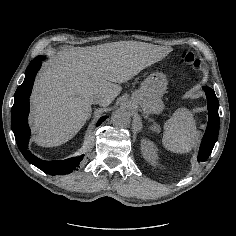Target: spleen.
I'll use <instances>...</instances> for the list:
<instances>
[{"mask_svg": "<svg viewBox=\"0 0 236 236\" xmlns=\"http://www.w3.org/2000/svg\"><path fill=\"white\" fill-rule=\"evenodd\" d=\"M199 136L193 113L187 108H179L165 123L162 142L174 153H186L197 144Z\"/></svg>", "mask_w": 236, "mask_h": 236, "instance_id": "obj_1", "label": "spleen"}]
</instances>
